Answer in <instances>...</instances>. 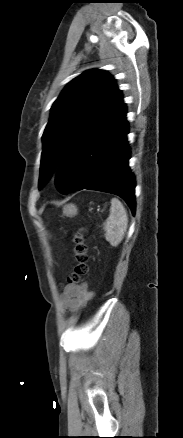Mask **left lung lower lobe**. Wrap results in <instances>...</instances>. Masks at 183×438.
<instances>
[{"instance_id": "1", "label": "left lung lower lobe", "mask_w": 183, "mask_h": 438, "mask_svg": "<svg viewBox=\"0 0 183 438\" xmlns=\"http://www.w3.org/2000/svg\"><path fill=\"white\" fill-rule=\"evenodd\" d=\"M126 105L81 141L59 165L55 183L62 193L98 190L123 198L135 213V178L130 172Z\"/></svg>"}]
</instances>
